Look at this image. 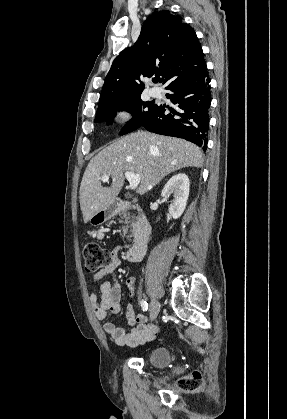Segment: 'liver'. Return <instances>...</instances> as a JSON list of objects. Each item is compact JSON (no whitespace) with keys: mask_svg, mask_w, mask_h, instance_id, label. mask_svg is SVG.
Returning <instances> with one entry per match:
<instances>
[{"mask_svg":"<svg viewBox=\"0 0 287 419\" xmlns=\"http://www.w3.org/2000/svg\"><path fill=\"white\" fill-rule=\"evenodd\" d=\"M202 164L201 149L186 140L145 131L124 136L94 156L84 172L79 191L84 223L119 194L126 171L140 174L138 191L144 194L168 174ZM103 175L111 176L110 187L102 186Z\"/></svg>","mask_w":287,"mask_h":419,"instance_id":"obj_1","label":"liver"}]
</instances>
